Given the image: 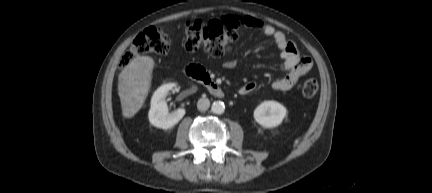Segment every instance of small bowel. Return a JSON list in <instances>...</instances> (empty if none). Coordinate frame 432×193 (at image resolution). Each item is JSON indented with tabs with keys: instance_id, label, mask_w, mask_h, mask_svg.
<instances>
[{
	"instance_id": "1",
	"label": "small bowel",
	"mask_w": 432,
	"mask_h": 193,
	"mask_svg": "<svg viewBox=\"0 0 432 193\" xmlns=\"http://www.w3.org/2000/svg\"><path fill=\"white\" fill-rule=\"evenodd\" d=\"M223 21L236 28H246L262 33L274 41L278 49V55L282 60L280 67L286 72L272 83L274 90L288 91L292 89L300 78L312 68V59L301 55L297 46L289 41L283 32L277 30L272 25L251 16H227L223 18ZM237 63L236 59H231L225 61L222 66L225 69H232L237 66ZM256 88L257 85L255 82H247L239 88L238 93L240 95H249Z\"/></svg>"
}]
</instances>
